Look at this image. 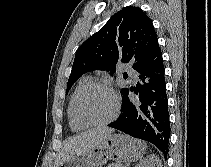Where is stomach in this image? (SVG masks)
<instances>
[{
    "mask_svg": "<svg viewBox=\"0 0 211 167\" xmlns=\"http://www.w3.org/2000/svg\"><path fill=\"white\" fill-rule=\"evenodd\" d=\"M146 151V144L127 135H110L93 150L77 155L59 167H101L108 160L119 163L139 160Z\"/></svg>",
    "mask_w": 211,
    "mask_h": 167,
    "instance_id": "0dacf381",
    "label": "stomach"
}]
</instances>
